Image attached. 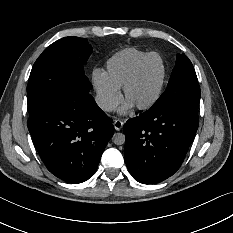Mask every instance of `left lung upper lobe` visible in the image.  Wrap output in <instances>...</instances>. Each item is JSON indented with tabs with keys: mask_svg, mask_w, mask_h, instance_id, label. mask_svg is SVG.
Returning <instances> with one entry per match:
<instances>
[{
	"mask_svg": "<svg viewBox=\"0 0 233 233\" xmlns=\"http://www.w3.org/2000/svg\"><path fill=\"white\" fill-rule=\"evenodd\" d=\"M200 100V86L193 65L185 54H177L176 65L172 71L165 92L151 109L174 107L197 108Z\"/></svg>",
	"mask_w": 233,
	"mask_h": 233,
	"instance_id": "1",
	"label": "left lung upper lobe"
}]
</instances>
